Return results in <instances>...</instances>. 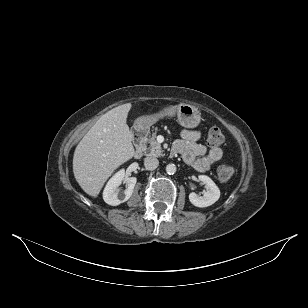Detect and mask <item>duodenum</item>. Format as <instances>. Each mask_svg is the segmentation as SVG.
Returning a JSON list of instances; mask_svg holds the SVG:
<instances>
[{
  "label": "duodenum",
  "instance_id": "duodenum-1",
  "mask_svg": "<svg viewBox=\"0 0 308 308\" xmlns=\"http://www.w3.org/2000/svg\"><path fill=\"white\" fill-rule=\"evenodd\" d=\"M148 127L144 124L138 125L133 132V139L135 143V150L133 153L134 158H140L143 154V141L147 134ZM172 153H174V148H172Z\"/></svg>",
  "mask_w": 308,
  "mask_h": 308
}]
</instances>
